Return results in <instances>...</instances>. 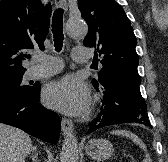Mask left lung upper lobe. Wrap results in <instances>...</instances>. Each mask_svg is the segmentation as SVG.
I'll list each match as a JSON object with an SVG mask.
<instances>
[{
	"label": "left lung upper lobe",
	"instance_id": "1",
	"mask_svg": "<svg viewBox=\"0 0 168 162\" xmlns=\"http://www.w3.org/2000/svg\"><path fill=\"white\" fill-rule=\"evenodd\" d=\"M78 8L88 24L83 43L98 50L103 66L93 86L118 80L139 86L137 39L122 7L115 0H79Z\"/></svg>",
	"mask_w": 168,
	"mask_h": 162
}]
</instances>
